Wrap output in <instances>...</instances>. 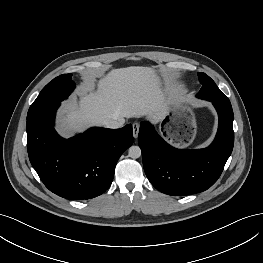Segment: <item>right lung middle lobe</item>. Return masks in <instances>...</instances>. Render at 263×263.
Masks as SVG:
<instances>
[{
  "label": "right lung middle lobe",
  "instance_id": "obj_1",
  "mask_svg": "<svg viewBox=\"0 0 263 263\" xmlns=\"http://www.w3.org/2000/svg\"><path fill=\"white\" fill-rule=\"evenodd\" d=\"M71 76L72 74H63L49 82L30 106L27 118L67 98L75 88V83L71 80Z\"/></svg>",
  "mask_w": 263,
  "mask_h": 263
}]
</instances>
